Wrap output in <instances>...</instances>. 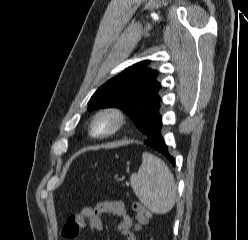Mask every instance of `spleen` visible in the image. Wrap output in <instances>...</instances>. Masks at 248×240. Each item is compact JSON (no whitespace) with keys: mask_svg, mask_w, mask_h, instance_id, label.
Wrapping results in <instances>:
<instances>
[{"mask_svg":"<svg viewBox=\"0 0 248 240\" xmlns=\"http://www.w3.org/2000/svg\"><path fill=\"white\" fill-rule=\"evenodd\" d=\"M140 202L155 214H166L175 205L177 186L169 167L160 158L144 152L138 173L130 177Z\"/></svg>","mask_w":248,"mask_h":240,"instance_id":"spleen-1","label":"spleen"}]
</instances>
